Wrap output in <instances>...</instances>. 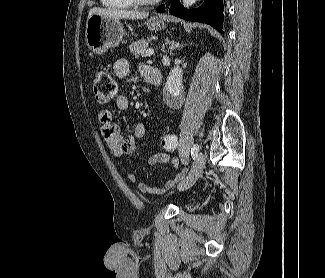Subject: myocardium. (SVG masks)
<instances>
[{"instance_id": "f54148a6", "label": "myocardium", "mask_w": 325, "mask_h": 278, "mask_svg": "<svg viewBox=\"0 0 325 278\" xmlns=\"http://www.w3.org/2000/svg\"><path fill=\"white\" fill-rule=\"evenodd\" d=\"M133 5L147 6L157 3L159 0H129Z\"/></svg>"}]
</instances>
